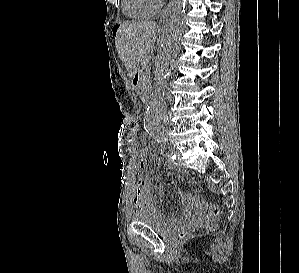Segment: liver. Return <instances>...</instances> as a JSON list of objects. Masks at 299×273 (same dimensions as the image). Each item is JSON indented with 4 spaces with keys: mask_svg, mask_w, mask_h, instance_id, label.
<instances>
[{
    "mask_svg": "<svg viewBox=\"0 0 299 273\" xmlns=\"http://www.w3.org/2000/svg\"><path fill=\"white\" fill-rule=\"evenodd\" d=\"M157 25L154 21H127L118 28L115 45L130 77L139 64L155 49Z\"/></svg>",
    "mask_w": 299,
    "mask_h": 273,
    "instance_id": "liver-1",
    "label": "liver"
}]
</instances>
